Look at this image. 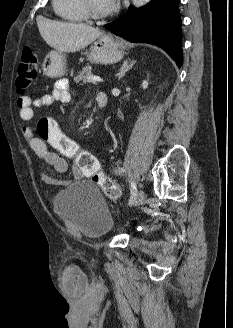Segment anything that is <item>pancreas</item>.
<instances>
[{"instance_id": "pancreas-1", "label": "pancreas", "mask_w": 233, "mask_h": 328, "mask_svg": "<svg viewBox=\"0 0 233 328\" xmlns=\"http://www.w3.org/2000/svg\"><path fill=\"white\" fill-rule=\"evenodd\" d=\"M91 70L92 69L90 66L83 67L82 70L79 72V74L76 77H74V81L76 83H80V82L86 83L88 81L87 80L88 77L93 76Z\"/></svg>"}]
</instances>
